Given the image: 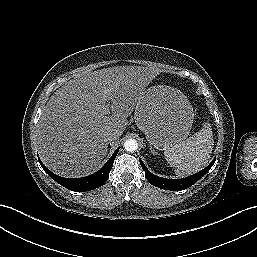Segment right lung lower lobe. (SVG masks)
Here are the masks:
<instances>
[{
  "mask_svg": "<svg viewBox=\"0 0 257 257\" xmlns=\"http://www.w3.org/2000/svg\"><path fill=\"white\" fill-rule=\"evenodd\" d=\"M119 151V148L113 153L111 158L106 162V164L96 173L83 177V178H63L53 174L49 171L41 160L38 158L40 165L44 169V171L57 183L64 186L65 188L75 191V192H82V191H90L94 190L100 186H102L108 179L109 173L111 171L114 159Z\"/></svg>",
  "mask_w": 257,
  "mask_h": 257,
  "instance_id": "obj_1",
  "label": "right lung lower lobe"
}]
</instances>
